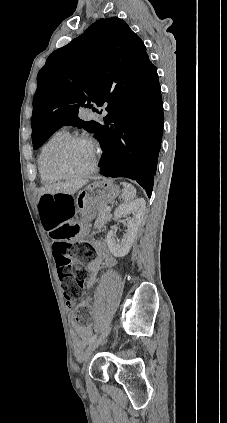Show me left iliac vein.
Instances as JSON below:
<instances>
[{
  "mask_svg": "<svg viewBox=\"0 0 227 423\" xmlns=\"http://www.w3.org/2000/svg\"><path fill=\"white\" fill-rule=\"evenodd\" d=\"M111 329H112L111 326L108 327L95 342H93L92 344L88 346V348L85 351V359H87L90 353H92L102 343V341L106 338V336L109 334Z\"/></svg>",
  "mask_w": 227,
  "mask_h": 423,
  "instance_id": "obj_1",
  "label": "left iliac vein"
}]
</instances>
